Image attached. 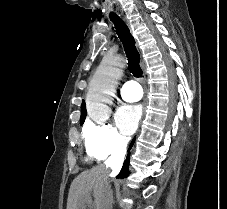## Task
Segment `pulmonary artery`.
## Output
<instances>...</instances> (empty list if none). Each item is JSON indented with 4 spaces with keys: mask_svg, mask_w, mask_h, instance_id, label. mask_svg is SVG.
Segmentation results:
<instances>
[{
    "mask_svg": "<svg viewBox=\"0 0 227 209\" xmlns=\"http://www.w3.org/2000/svg\"><path fill=\"white\" fill-rule=\"evenodd\" d=\"M142 88H138V84L126 82L120 89V95L127 102H135L141 98Z\"/></svg>",
    "mask_w": 227,
    "mask_h": 209,
    "instance_id": "1",
    "label": "pulmonary artery"
}]
</instances>
